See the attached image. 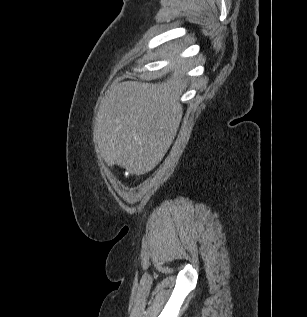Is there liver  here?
<instances>
[{"instance_id": "obj_1", "label": "liver", "mask_w": 307, "mask_h": 317, "mask_svg": "<svg viewBox=\"0 0 307 317\" xmlns=\"http://www.w3.org/2000/svg\"><path fill=\"white\" fill-rule=\"evenodd\" d=\"M178 52L174 48L165 57ZM188 67L185 59L174 61L167 67L174 73L163 83L111 85L99 106L94 129V139L108 166L116 164L139 176L162 160L182 119L180 96L188 86L184 77Z\"/></svg>"}]
</instances>
